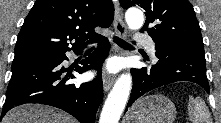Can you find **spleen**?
I'll use <instances>...</instances> for the list:
<instances>
[{
    "instance_id": "1",
    "label": "spleen",
    "mask_w": 221,
    "mask_h": 123,
    "mask_svg": "<svg viewBox=\"0 0 221 123\" xmlns=\"http://www.w3.org/2000/svg\"><path fill=\"white\" fill-rule=\"evenodd\" d=\"M188 115L192 123H212V117L205 101L189 96Z\"/></svg>"
}]
</instances>
